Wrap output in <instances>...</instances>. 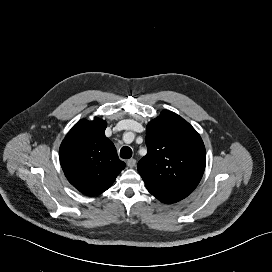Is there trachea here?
<instances>
[{"label": "trachea", "mask_w": 272, "mask_h": 272, "mask_svg": "<svg viewBox=\"0 0 272 272\" xmlns=\"http://www.w3.org/2000/svg\"><path fill=\"white\" fill-rule=\"evenodd\" d=\"M132 156V150L128 146H124L120 150V157L123 159H129Z\"/></svg>", "instance_id": "3493384b"}]
</instances>
